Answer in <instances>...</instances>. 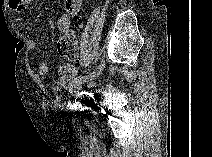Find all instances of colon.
<instances>
[{
  "label": "colon",
  "mask_w": 212,
  "mask_h": 157,
  "mask_svg": "<svg viewBox=\"0 0 212 157\" xmlns=\"http://www.w3.org/2000/svg\"><path fill=\"white\" fill-rule=\"evenodd\" d=\"M58 54L67 60H77L79 55L78 41L73 29L62 32L57 40Z\"/></svg>",
  "instance_id": "5ec220e1"
}]
</instances>
